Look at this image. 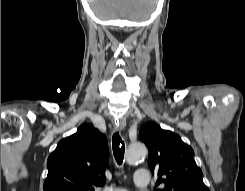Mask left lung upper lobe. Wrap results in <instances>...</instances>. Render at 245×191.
<instances>
[{
	"instance_id": "5c2ea615",
	"label": "left lung upper lobe",
	"mask_w": 245,
	"mask_h": 191,
	"mask_svg": "<svg viewBox=\"0 0 245 191\" xmlns=\"http://www.w3.org/2000/svg\"><path fill=\"white\" fill-rule=\"evenodd\" d=\"M139 137L149 149L148 165L158 175L156 186L163 185L157 191H209L192 147L178 134L148 122L141 127Z\"/></svg>"
}]
</instances>
